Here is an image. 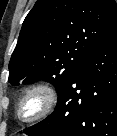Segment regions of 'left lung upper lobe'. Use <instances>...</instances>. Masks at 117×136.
Here are the masks:
<instances>
[{"label": "left lung upper lobe", "instance_id": "5c2ea615", "mask_svg": "<svg viewBox=\"0 0 117 136\" xmlns=\"http://www.w3.org/2000/svg\"><path fill=\"white\" fill-rule=\"evenodd\" d=\"M115 24L114 0H37L23 22L8 82L44 80L59 93Z\"/></svg>", "mask_w": 117, "mask_h": 136}]
</instances>
